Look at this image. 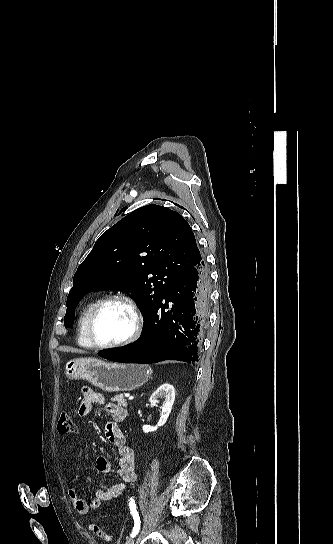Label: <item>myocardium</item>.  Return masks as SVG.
Returning <instances> with one entry per match:
<instances>
[{
	"label": "myocardium",
	"mask_w": 333,
	"mask_h": 544,
	"mask_svg": "<svg viewBox=\"0 0 333 544\" xmlns=\"http://www.w3.org/2000/svg\"><path fill=\"white\" fill-rule=\"evenodd\" d=\"M115 301H119V302H123L125 303L132 311L133 313V316H134V328H133V331L131 332V334L119 341V342H115V343H108V344H104V343H100L97 341V339L95 338V335H94V324H95V321H96V318L97 316L99 315V313L101 312V310L109 303L111 302H115ZM143 326H144V317H143V313L138 305V303L136 302V300L134 298H132L131 296L129 295H126V294H113V295H109V296H106L102 299H100L97 304L93 307V309L91 310L88 318H87V322H86V336L89 340V342L91 343V345L95 348H98V349H116V348H121V347H124V346H127L133 342H135L139 336L141 335L142 333V330H143Z\"/></svg>",
	"instance_id": "obj_1"
}]
</instances>
